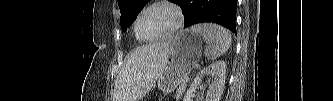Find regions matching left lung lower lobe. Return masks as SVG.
<instances>
[{"instance_id":"left-lung-lower-lobe-1","label":"left lung lower lobe","mask_w":333,"mask_h":101,"mask_svg":"<svg viewBox=\"0 0 333 101\" xmlns=\"http://www.w3.org/2000/svg\"><path fill=\"white\" fill-rule=\"evenodd\" d=\"M237 0H182L185 27L196 23L212 22L220 24L236 34Z\"/></svg>"}]
</instances>
